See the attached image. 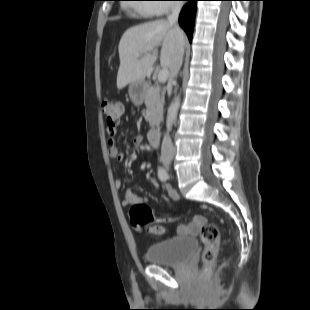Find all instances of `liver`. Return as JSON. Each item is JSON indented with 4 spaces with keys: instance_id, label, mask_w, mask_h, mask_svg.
Masks as SVG:
<instances>
[{
    "instance_id": "6515ba94",
    "label": "liver",
    "mask_w": 310,
    "mask_h": 310,
    "mask_svg": "<svg viewBox=\"0 0 310 310\" xmlns=\"http://www.w3.org/2000/svg\"><path fill=\"white\" fill-rule=\"evenodd\" d=\"M177 42L175 27L163 19L126 30L118 47L120 66L117 88L122 89L134 81H143L157 59V48L160 45H162L160 64L163 68L170 69L177 50ZM183 44L185 45L184 35ZM147 48H153V52H146Z\"/></svg>"
}]
</instances>
